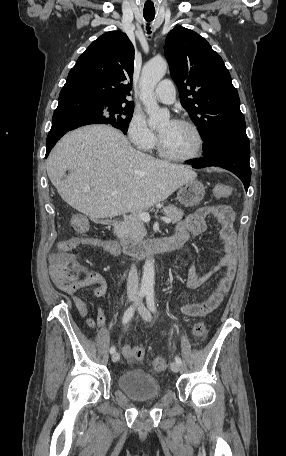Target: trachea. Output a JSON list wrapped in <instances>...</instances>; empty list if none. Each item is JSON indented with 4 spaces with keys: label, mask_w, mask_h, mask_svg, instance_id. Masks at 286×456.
Wrapping results in <instances>:
<instances>
[{
    "label": "trachea",
    "mask_w": 286,
    "mask_h": 456,
    "mask_svg": "<svg viewBox=\"0 0 286 456\" xmlns=\"http://www.w3.org/2000/svg\"><path fill=\"white\" fill-rule=\"evenodd\" d=\"M143 15H144V18H145V20L147 22H151L154 19V17H155V13L144 12ZM147 30H148V34H150L151 32H150V27L149 26H147Z\"/></svg>",
    "instance_id": "3493384b"
}]
</instances>
